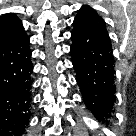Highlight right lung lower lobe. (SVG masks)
<instances>
[{"mask_svg": "<svg viewBox=\"0 0 136 136\" xmlns=\"http://www.w3.org/2000/svg\"><path fill=\"white\" fill-rule=\"evenodd\" d=\"M29 37L0 43V136H22L30 115Z\"/></svg>", "mask_w": 136, "mask_h": 136, "instance_id": "1", "label": "right lung lower lobe"}]
</instances>
